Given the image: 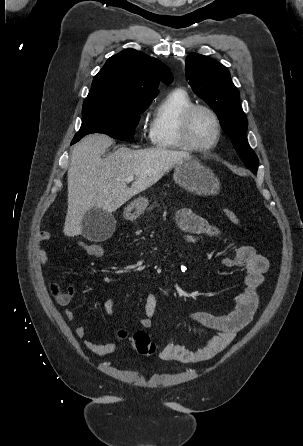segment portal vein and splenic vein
I'll list each match as a JSON object with an SVG mask.
<instances>
[{
	"label": "portal vein and splenic vein",
	"mask_w": 303,
	"mask_h": 446,
	"mask_svg": "<svg viewBox=\"0 0 303 446\" xmlns=\"http://www.w3.org/2000/svg\"><path fill=\"white\" fill-rule=\"evenodd\" d=\"M134 180V176H129L125 179L126 182H130Z\"/></svg>",
	"instance_id": "obj_1"
}]
</instances>
